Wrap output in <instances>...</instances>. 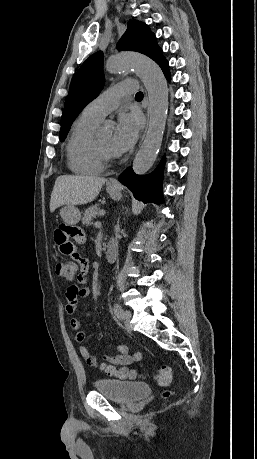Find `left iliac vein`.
I'll return each mask as SVG.
<instances>
[{
  "mask_svg": "<svg viewBox=\"0 0 257 459\" xmlns=\"http://www.w3.org/2000/svg\"><path fill=\"white\" fill-rule=\"evenodd\" d=\"M131 317H132V313L130 311L126 310L123 312L124 323H125L126 328L129 331H132V326L130 324Z\"/></svg>",
  "mask_w": 257,
  "mask_h": 459,
  "instance_id": "1",
  "label": "left iliac vein"
}]
</instances>
